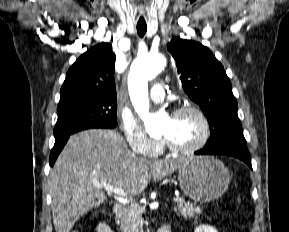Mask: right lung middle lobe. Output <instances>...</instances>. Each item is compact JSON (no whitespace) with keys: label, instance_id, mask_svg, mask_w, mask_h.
<instances>
[{"label":"right lung middle lobe","instance_id":"right-lung-middle-lobe-1","mask_svg":"<svg viewBox=\"0 0 289 232\" xmlns=\"http://www.w3.org/2000/svg\"><path fill=\"white\" fill-rule=\"evenodd\" d=\"M55 139L91 128L117 126V101L100 97L78 98L59 104Z\"/></svg>","mask_w":289,"mask_h":232}]
</instances>
